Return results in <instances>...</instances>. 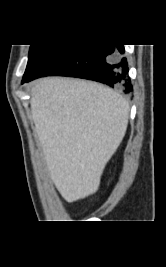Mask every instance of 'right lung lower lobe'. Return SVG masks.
<instances>
[{
	"instance_id": "obj_1",
	"label": "right lung lower lobe",
	"mask_w": 166,
	"mask_h": 267,
	"mask_svg": "<svg viewBox=\"0 0 166 267\" xmlns=\"http://www.w3.org/2000/svg\"><path fill=\"white\" fill-rule=\"evenodd\" d=\"M123 45L56 44L22 83L60 75L98 81L126 94L133 92Z\"/></svg>"
}]
</instances>
